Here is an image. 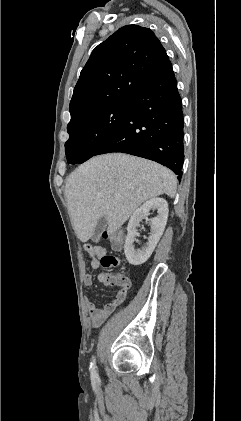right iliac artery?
<instances>
[{
  "mask_svg": "<svg viewBox=\"0 0 241 421\" xmlns=\"http://www.w3.org/2000/svg\"><path fill=\"white\" fill-rule=\"evenodd\" d=\"M90 372H91V377L92 378H96L97 377V368H96V364H95V359L93 358V361L90 364Z\"/></svg>",
  "mask_w": 241,
  "mask_h": 421,
  "instance_id": "right-iliac-artery-1",
  "label": "right iliac artery"
}]
</instances>
